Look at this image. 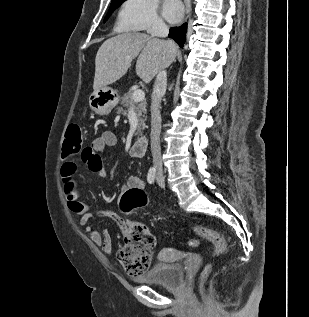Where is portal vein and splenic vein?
Here are the masks:
<instances>
[{
	"label": "portal vein and splenic vein",
	"mask_w": 309,
	"mask_h": 317,
	"mask_svg": "<svg viewBox=\"0 0 309 317\" xmlns=\"http://www.w3.org/2000/svg\"><path fill=\"white\" fill-rule=\"evenodd\" d=\"M144 99H145V93L143 90L141 89L134 90V92L132 93V100L134 102H141Z\"/></svg>",
	"instance_id": "1"
}]
</instances>
